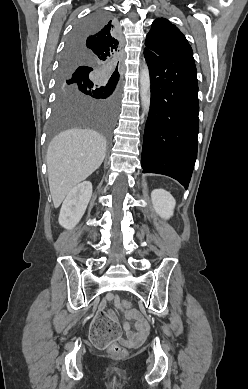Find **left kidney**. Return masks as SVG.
Instances as JSON below:
<instances>
[{"label":"left kidney","mask_w":248,"mask_h":389,"mask_svg":"<svg viewBox=\"0 0 248 389\" xmlns=\"http://www.w3.org/2000/svg\"><path fill=\"white\" fill-rule=\"evenodd\" d=\"M151 199L155 211L164 219H169L173 215L176 201L173 196L164 189H154Z\"/></svg>","instance_id":"5707ae66"}]
</instances>
